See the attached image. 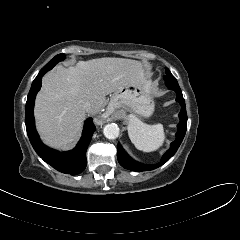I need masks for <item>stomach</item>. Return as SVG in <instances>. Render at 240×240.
Instances as JSON below:
<instances>
[{
    "label": "stomach",
    "instance_id": "stomach-1",
    "mask_svg": "<svg viewBox=\"0 0 240 240\" xmlns=\"http://www.w3.org/2000/svg\"><path fill=\"white\" fill-rule=\"evenodd\" d=\"M109 110L130 109L134 113L149 117L154 111L150 87L146 85H127L115 91L109 103Z\"/></svg>",
    "mask_w": 240,
    "mask_h": 240
}]
</instances>
